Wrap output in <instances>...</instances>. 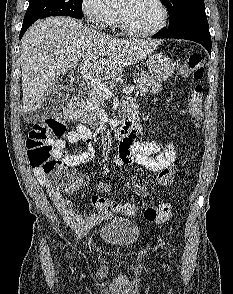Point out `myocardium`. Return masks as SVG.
I'll return each mask as SVG.
<instances>
[{
  "instance_id": "myocardium-1",
  "label": "myocardium",
  "mask_w": 233,
  "mask_h": 294,
  "mask_svg": "<svg viewBox=\"0 0 233 294\" xmlns=\"http://www.w3.org/2000/svg\"><path fill=\"white\" fill-rule=\"evenodd\" d=\"M153 1L160 8L161 13H162V17H161L160 23L151 30L138 31V30L133 29L128 24L125 15L121 11H119L120 24H121L123 31L126 34L133 36V37H150V36L156 35L157 33H159L161 30H163L166 27V25L168 24V21H169V11H168L167 6L164 4V2L162 0H153Z\"/></svg>"
}]
</instances>
